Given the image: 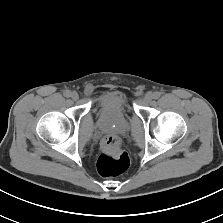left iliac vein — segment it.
<instances>
[{
  "label": "left iliac vein",
  "mask_w": 223,
  "mask_h": 223,
  "mask_svg": "<svg viewBox=\"0 0 223 223\" xmlns=\"http://www.w3.org/2000/svg\"><path fill=\"white\" fill-rule=\"evenodd\" d=\"M153 99V93L148 92L145 94L143 100L145 103H149Z\"/></svg>",
  "instance_id": "left-iliac-vein-1"
}]
</instances>
